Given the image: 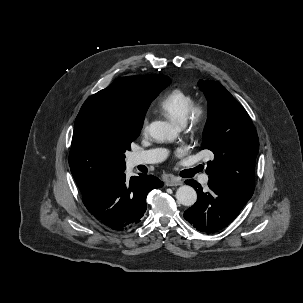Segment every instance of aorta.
Here are the masks:
<instances>
[{"label": "aorta", "mask_w": 303, "mask_h": 303, "mask_svg": "<svg viewBox=\"0 0 303 303\" xmlns=\"http://www.w3.org/2000/svg\"><path fill=\"white\" fill-rule=\"evenodd\" d=\"M150 136L157 141H173L177 137V130L168 122L154 121L149 126ZM177 202L190 207L197 201L195 189L189 185L180 186L176 191Z\"/></svg>", "instance_id": "762f6f07"}]
</instances>
